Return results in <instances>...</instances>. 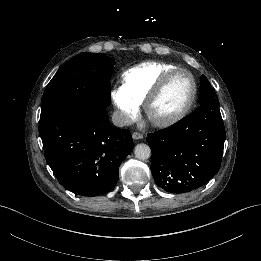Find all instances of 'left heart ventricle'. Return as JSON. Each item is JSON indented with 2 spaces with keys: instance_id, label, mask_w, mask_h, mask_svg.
Instances as JSON below:
<instances>
[{
  "instance_id": "left-heart-ventricle-1",
  "label": "left heart ventricle",
  "mask_w": 261,
  "mask_h": 261,
  "mask_svg": "<svg viewBox=\"0 0 261 261\" xmlns=\"http://www.w3.org/2000/svg\"><path fill=\"white\" fill-rule=\"evenodd\" d=\"M192 94V83L184 73L176 74L161 98L152 109L156 118H166L178 113L188 102Z\"/></svg>"
}]
</instances>
